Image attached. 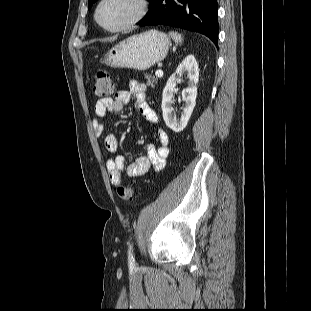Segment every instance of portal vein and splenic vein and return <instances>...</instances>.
<instances>
[{
  "label": "portal vein and splenic vein",
  "instance_id": "1",
  "mask_svg": "<svg viewBox=\"0 0 311 311\" xmlns=\"http://www.w3.org/2000/svg\"><path fill=\"white\" fill-rule=\"evenodd\" d=\"M156 77L161 78L163 76V71L162 70H157L155 72Z\"/></svg>",
  "mask_w": 311,
  "mask_h": 311
}]
</instances>
